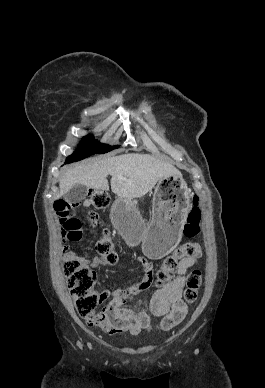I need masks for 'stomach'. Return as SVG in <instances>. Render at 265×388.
<instances>
[{
  "mask_svg": "<svg viewBox=\"0 0 265 388\" xmlns=\"http://www.w3.org/2000/svg\"><path fill=\"white\" fill-rule=\"evenodd\" d=\"M191 190L182 176L159 180L152 203V221L146 224L131 200L117 198L111 217L129 246L142 243L151 259L168 255L181 239L182 227L191 207Z\"/></svg>",
  "mask_w": 265,
  "mask_h": 388,
  "instance_id": "obj_1",
  "label": "stomach"
}]
</instances>
